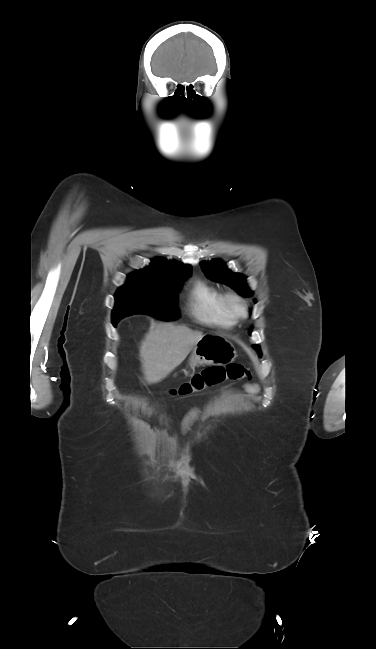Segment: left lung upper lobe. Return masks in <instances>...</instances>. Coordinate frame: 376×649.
I'll return each instance as SVG.
<instances>
[{"label": "left lung upper lobe", "mask_w": 376, "mask_h": 649, "mask_svg": "<svg viewBox=\"0 0 376 649\" xmlns=\"http://www.w3.org/2000/svg\"><path fill=\"white\" fill-rule=\"evenodd\" d=\"M200 265L205 275L211 280L231 286L243 297H250L253 295L252 291H250L246 286V278L239 273H233L230 271L221 260L202 262ZM249 334H251V330L249 331Z\"/></svg>", "instance_id": "obj_1"}]
</instances>
